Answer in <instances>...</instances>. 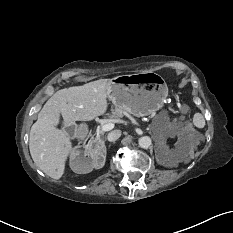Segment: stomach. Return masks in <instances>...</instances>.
<instances>
[{"instance_id": "obj_1", "label": "stomach", "mask_w": 233, "mask_h": 233, "mask_svg": "<svg viewBox=\"0 0 233 233\" xmlns=\"http://www.w3.org/2000/svg\"><path fill=\"white\" fill-rule=\"evenodd\" d=\"M167 96V84L155 72L119 75L109 82V100L116 108L137 117L153 114L163 108Z\"/></svg>"}]
</instances>
